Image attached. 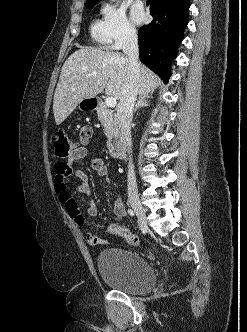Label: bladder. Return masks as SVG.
<instances>
[{
	"mask_svg": "<svg viewBox=\"0 0 247 332\" xmlns=\"http://www.w3.org/2000/svg\"><path fill=\"white\" fill-rule=\"evenodd\" d=\"M99 275L108 286L128 293L143 294L156 284L151 264L140 254L125 248H108L97 257Z\"/></svg>",
	"mask_w": 247,
	"mask_h": 332,
	"instance_id": "bladder-1",
	"label": "bladder"
}]
</instances>
